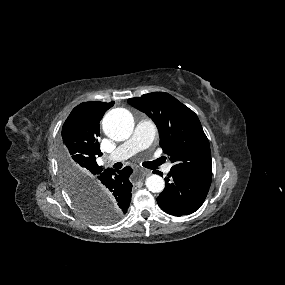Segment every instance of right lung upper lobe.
Listing matches in <instances>:
<instances>
[{
  "instance_id": "1",
  "label": "right lung upper lobe",
  "mask_w": 285,
  "mask_h": 285,
  "mask_svg": "<svg viewBox=\"0 0 285 285\" xmlns=\"http://www.w3.org/2000/svg\"><path fill=\"white\" fill-rule=\"evenodd\" d=\"M114 102H85L76 106L62 128L61 150L84 182H91L103 171L96 157L101 156L99 122ZM98 199V197H96Z\"/></svg>"
}]
</instances>
